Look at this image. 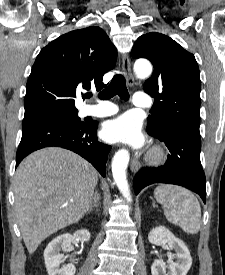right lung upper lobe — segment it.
I'll use <instances>...</instances> for the list:
<instances>
[{
    "label": "right lung upper lobe",
    "mask_w": 225,
    "mask_h": 275,
    "mask_svg": "<svg viewBox=\"0 0 225 275\" xmlns=\"http://www.w3.org/2000/svg\"><path fill=\"white\" fill-rule=\"evenodd\" d=\"M116 49L99 27L66 33L37 56L26 85L25 117L77 110V90L102 88L103 75L116 64Z\"/></svg>",
    "instance_id": "1"
}]
</instances>
